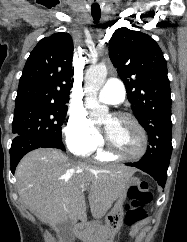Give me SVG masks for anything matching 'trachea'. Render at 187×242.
Instances as JSON below:
<instances>
[{"instance_id":"3493384b","label":"trachea","mask_w":187,"mask_h":242,"mask_svg":"<svg viewBox=\"0 0 187 242\" xmlns=\"http://www.w3.org/2000/svg\"><path fill=\"white\" fill-rule=\"evenodd\" d=\"M92 17L94 19L95 24H97L101 17V12H92Z\"/></svg>"}]
</instances>
